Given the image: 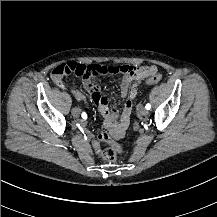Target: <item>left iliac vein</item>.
<instances>
[{"label": "left iliac vein", "mask_w": 217, "mask_h": 217, "mask_svg": "<svg viewBox=\"0 0 217 217\" xmlns=\"http://www.w3.org/2000/svg\"><path fill=\"white\" fill-rule=\"evenodd\" d=\"M139 111L142 116H147L149 114V111L145 107H140Z\"/></svg>", "instance_id": "obj_1"}]
</instances>
